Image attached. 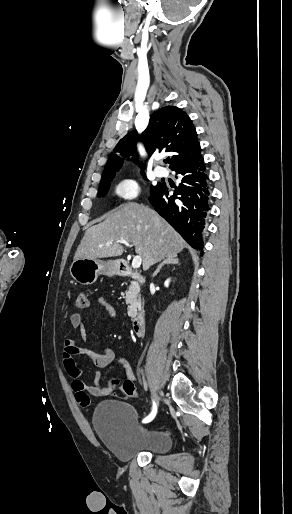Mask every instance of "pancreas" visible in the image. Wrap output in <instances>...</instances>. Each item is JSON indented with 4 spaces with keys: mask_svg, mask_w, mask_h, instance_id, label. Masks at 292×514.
Returning a JSON list of instances; mask_svg holds the SVG:
<instances>
[{
    "mask_svg": "<svg viewBox=\"0 0 292 514\" xmlns=\"http://www.w3.org/2000/svg\"><path fill=\"white\" fill-rule=\"evenodd\" d=\"M126 304H128V316L135 318L137 308L140 306V294L137 284L129 286V290L126 292Z\"/></svg>",
    "mask_w": 292,
    "mask_h": 514,
    "instance_id": "cf45deb5",
    "label": "pancreas"
}]
</instances>
